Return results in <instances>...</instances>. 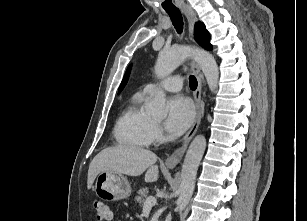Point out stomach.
Masks as SVG:
<instances>
[{
    "label": "stomach",
    "mask_w": 307,
    "mask_h": 221,
    "mask_svg": "<svg viewBox=\"0 0 307 221\" xmlns=\"http://www.w3.org/2000/svg\"><path fill=\"white\" fill-rule=\"evenodd\" d=\"M93 188L98 197L110 201L124 199L131 193L127 178L116 172L98 174Z\"/></svg>",
    "instance_id": "1"
}]
</instances>
